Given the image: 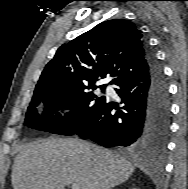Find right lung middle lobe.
Returning a JSON list of instances; mask_svg holds the SVG:
<instances>
[{
  "label": "right lung middle lobe",
  "mask_w": 188,
  "mask_h": 189,
  "mask_svg": "<svg viewBox=\"0 0 188 189\" xmlns=\"http://www.w3.org/2000/svg\"><path fill=\"white\" fill-rule=\"evenodd\" d=\"M96 88L87 87L80 90L56 89L34 94L27 108L25 118L27 126L54 134H75L93 118L106 100L105 96L98 97L89 91ZM100 88L102 91L105 90V87ZM41 101L45 104L42 118L37 112V106ZM62 108L71 110L70 117H62L57 113ZM53 113H56L54 119H52Z\"/></svg>",
  "instance_id": "1"
}]
</instances>
